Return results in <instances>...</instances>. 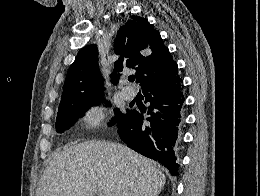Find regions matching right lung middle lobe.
<instances>
[{
    "label": "right lung middle lobe",
    "mask_w": 260,
    "mask_h": 196,
    "mask_svg": "<svg viewBox=\"0 0 260 196\" xmlns=\"http://www.w3.org/2000/svg\"><path fill=\"white\" fill-rule=\"evenodd\" d=\"M103 97V93L84 97L59 110L56 118V131L62 133L69 129L91 106H95L101 101L106 102V100H103ZM107 106H111V104L108 103ZM128 112L122 113L119 109H115L116 117L108 125L121 123L127 117Z\"/></svg>",
    "instance_id": "right-lung-middle-lobe-1"
}]
</instances>
